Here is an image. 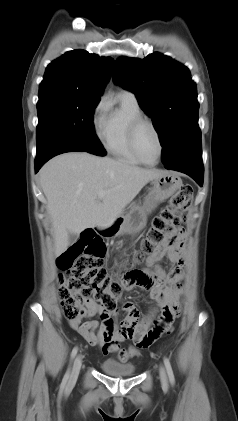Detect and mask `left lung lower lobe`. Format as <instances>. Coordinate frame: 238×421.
<instances>
[{"label": "left lung lower lobe", "instance_id": "obj_1", "mask_svg": "<svg viewBox=\"0 0 238 421\" xmlns=\"http://www.w3.org/2000/svg\"><path fill=\"white\" fill-rule=\"evenodd\" d=\"M166 169L176 170L191 176L200 186L203 185V164L201 138L189 144L167 164Z\"/></svg>", "mask_w": 238, "mask_h": 421}]
</instances>
